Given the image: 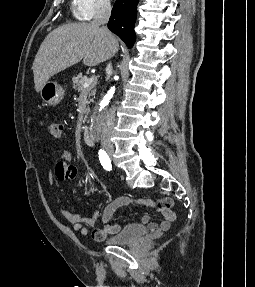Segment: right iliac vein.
Segmentation results:
<instances>
[{
  "instance_id": "right-iliac-vein-1",
  "label": "right iliac vein",
  "mask_w": 255,
  "mask_h": 287,
  "mask_svg": "<svg viewBox=\"0 0 255 287\" xmlns=\"http://www.w3.org/2000/svg\"><path fill=\"white\" fill-rule=\"evenodd\" d=\"M106 152L111 156L114 152L113 148H106Z\"/></svg>"
}]
</instances>
